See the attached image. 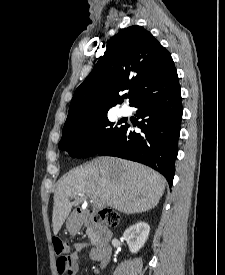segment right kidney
I'll return each instance as SVG.
<instances>
[{
    "instance_id": "right-kidney-1",
    "label": "right kidney",
    "mask_w": 225,
    "mask_h": 275,
    "mask_svg": "<svg viewBox=\"0 0 225 275\" xmlns=\"http://www.w3.org/2000/svg\"><path fill=\"white\" fill-rule=\"evenodd\" d=\"M150 227L145 222H139L129 227L123 234L131 253H137L145 244L149 236Z\"/></svg>"
}]
</instances>
